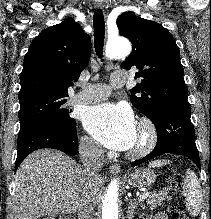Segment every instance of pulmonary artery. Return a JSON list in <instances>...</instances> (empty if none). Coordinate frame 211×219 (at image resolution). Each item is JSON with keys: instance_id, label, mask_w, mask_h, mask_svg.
<instances>
[{"instance_id": "pulmonary-artery-1", "label": "pulmonary artery", "mask_w": 211, "mask_h": 219, "mask_svg": "<svg viewBox=\"0 0 211 219\" xmlns=\"http://www.w3.org/2000/svg\"><path fill=\"white\" fill-rule=\"evenodd\" d=\"M127 75L123 71H115L111 76V85L120 87L126 83ZM111 92L110 86L106 84H89L77 93L72 101L78 104H93L106 99Z\"/></svg>"}]
</instances>
